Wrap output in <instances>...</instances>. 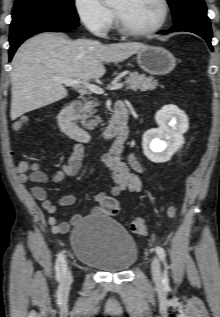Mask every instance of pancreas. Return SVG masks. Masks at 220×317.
Listing matches in <instances>:
<instances>
[{
    "label": "pancreas",
    "instance_id": "cf45deb5",
    "mask_svg": "<svg viewBox=\"0 0 220 317\" xmlns=\"http://www.w3.org/2000/svg\"><path fill=\"white\" fill-rule=\"evenodd\" d=\"M125 83L127 84V89L134 91L140 90L143 92L147 90H154L158 85V81L153 77H147L146 75L139 74L137 72L131 73L128 77H126ZM97 105V101H86L78 114V119L81 121L82 126L88 130H93L100 122V118L98 116H94L96 113L95 107Z\"/></svg>",
    "mask_w": 220,
    "mask_h": 317
}]
</instances>
